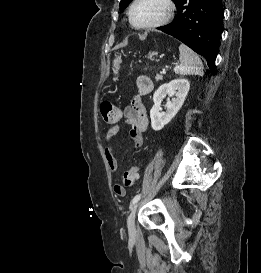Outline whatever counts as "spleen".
<instances>
[{
    "instance_id": "spleen-1",
    "label": "spleen",
    "mask_w": 261,
    "mask_h": 273,
    "mask_svg": "<svg viewBox=\"0 0 261 273\" xmlns=\"http://www.w3.org/2000/svg\"><path fill=\"white\" fill-rule=\"evenodd\" d=\"M179 52L180 64L174 68V72L178 75L203 76L204 67L199 56L184 44L179 46Z\"/></svg>"
}]
</instances>
